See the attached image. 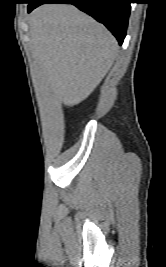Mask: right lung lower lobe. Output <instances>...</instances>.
<instances>
[{
	"label": "right lung lower lobe",
	"instance_id": "obj_1",
	"mask_svg": "<svg viewBox=\"0 0 166 267\" xmlns=\"http://www.w3.org/2000/svg\"><path fill=\"white\" fill-rule=\"evenodd\" d=\"M45 3H69L103 23L120 45L126 35L131 0H31L28 12Z\"/></svg>",
	"mask_w": 166,
	"mask_h": 267
}]
</instances>
